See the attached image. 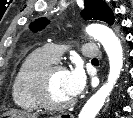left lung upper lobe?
Returning <instances> with one entry per match:
<instances>
[{"instance_id":"obj_1","label":"left lung upper lobe","mask_w":133,"mask_h":118,"mask_svg":"<svg viewBox=\"0 0 133 118\" xmlns=\"http://www.w3.org/2000/svg\"><path fill=\"white\" fill-rule=\"evenodd\" d=\"M85 8L82 11L84 20H101L109 25L114 23V15L112 10L107 4L101 0H85ZM48 24L46 19H38L30 25V29L38 31L40 28H44Z\"/></svg>"}]
</instances>
